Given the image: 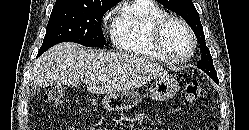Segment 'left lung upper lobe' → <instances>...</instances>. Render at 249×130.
Segmentation results:
<instances>
[{
  "label": "left lung upper lobe",
  "mask_w": 249,
  "mask_h": 130,
  "mask_svg": "<svg viewBox=\"0 0 249 130\" xmlns=\"http://www.w3.org/2000/svg\"><path fill=\"white\" fill-rule=\"evenodd\" d=\"M158 2L181 16L192 28L200 44V49L202 50L201 60L198 61L197 67L203 70L216 83H219L210 51L205 43V36L199 14L193 2L191 0H158Z\"/></svg>",
  "instance_id": "obj_1"
}]
</instances>
